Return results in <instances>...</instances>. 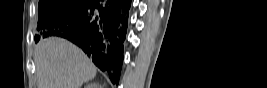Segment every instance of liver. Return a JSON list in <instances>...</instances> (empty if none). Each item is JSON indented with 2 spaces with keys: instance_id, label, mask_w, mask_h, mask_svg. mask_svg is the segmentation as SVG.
Masks as SVG:
<instances>
[{
  "instance_id": "liver-1",
  "label": "liver",
  "mask_w": 267,
  "mask_h": 88,
  "mask_svg": "<svg viewBox=\"0 0 267 88\" xmlns=\"http://www.w3.org/2000/svg\"><path fill=\"white\" fill-rule=\"evenodd\" d=\"M34 62L38 88H80L96 75V67L83 51L58 37L36 45Z\"/></svg>"
}]
</instances>
